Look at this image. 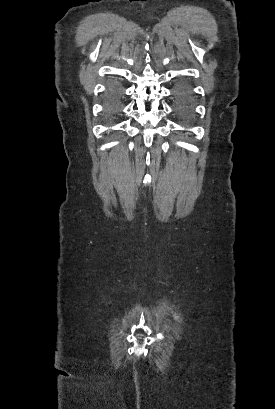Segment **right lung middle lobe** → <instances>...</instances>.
Instances as JSON below:
<instances>
[{
  "instance_id": "1",
  "label": "right lung middle lobe",
  "mask_w": 275,
  "mask_h": 409,
  "mask_svg": "<svg viewBox=\"0 0 275 409\" xmlns=\"http://www.w3.org/2000/svg\"><path fill=\"white\" fill-rule=\"evenodd\" d=\"M111 100L109 102V111L108 113L111 116H115L116 113H118V109H119V100H120V87L118 84H113L111 86Z\"/></svg>"
}]
</instances>
